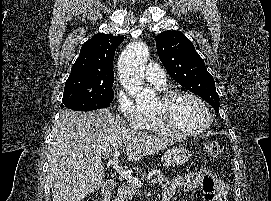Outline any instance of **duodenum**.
Returning a JSON list of instances; mask_svg holds the SVG:
<instances>
[{
  "label": "duodenum",
  "mask_w": 271,
  "mask_h": 201,
  "mask_svg": "<svg viewBox=\"0 0 271 201\" xmlns=\"http://www.w3.org/2000/svg\"><path fill=\"white\" fill-rule=\"evenodd\" d=\"M117 183L115 180H108L101 189V201H110L111 194L113 190L116 188ZM171 196L168 194H164L162 196L161 201H170Z\"/></svg>",
  "instance_id": "duodenum-1"
}]
</instances>
